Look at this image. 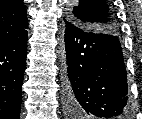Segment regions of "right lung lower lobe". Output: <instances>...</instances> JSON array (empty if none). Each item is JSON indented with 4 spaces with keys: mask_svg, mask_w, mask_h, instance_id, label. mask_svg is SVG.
<instances>
[{
    "mask_svg": "<svg viewBox=\"0 0 142 119\" xmlns=\"http://www.w3.org/2000/svg\"><path fill=\"white\" fill-rule=\"evenodd\" d=\"M27 31L0 43V119H19L26 65Z\"/></svg>",
    "mask_w": 142,
    "mask_h": 119,
    "instance_id": "98d812e1",
    "label": "right lung lower lobe"
}]
</instances>
